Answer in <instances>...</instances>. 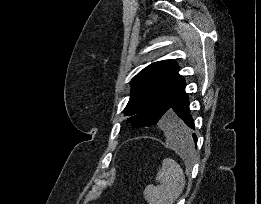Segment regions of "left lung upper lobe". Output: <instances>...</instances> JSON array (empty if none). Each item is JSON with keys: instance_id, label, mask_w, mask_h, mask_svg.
<instances>
[{"instance_id": "5c2ea615", "label": "left lung upper lobe", "mask_w": 261, "mask_h": 204, "mask_svg": "<svg viewBox=\"0 0 261 204\" xmlns=\"http://www.w3.org/2000/svg\"><path fill=\"white\" fill-rule=\"evenodd\" d=\"M184 83L173 60L144 68L131 81V97L124 109L128 121L135 127L162 125Z\"/></svg>"}]
</instances>
